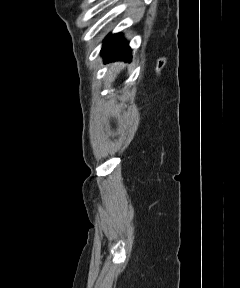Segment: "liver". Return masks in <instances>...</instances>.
Instances as JSON below:
<instances>
[{"mask_svg":"<svg viewBox=\"0 0 240 288\" xmlns=\"http://www.w3.org/2000/svg\"><path fill=\"white\" fill-rule=\"evenodd\" d=\"M116 65L119 67L121 64L117 63Z\"/></svg>","mask_w":240,"mask_h":288,"instance_id":"1","label":"liver"}]
</instances>
